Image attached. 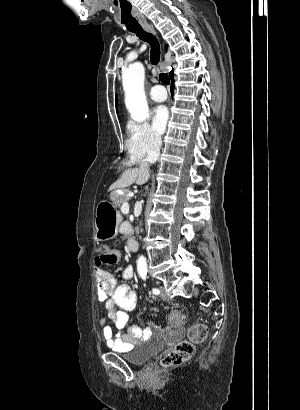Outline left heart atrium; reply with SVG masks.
Instances as JSON below:
<instances>
[{
  "label": "left heart atrium",
  "instance_id": "39dd6f15",
  "mask_svg": "<svg viewBox=\"0 0 300 410\" xmlns=\"http://www.w3.org/2000/svg\"><path fill=\"white\" fill-rule=\"evenodd\" d=\"M169 120V110L165 105H158L153 112V126L156 131H165Z\"/></svg>",
  "mask_w": 300,
  "mask_h": 410
}]
</instances>
